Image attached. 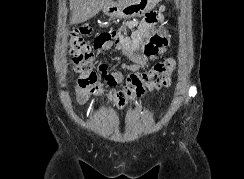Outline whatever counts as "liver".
Here are the masks:
<instances>
[{
  "label": "liver",
  "instance_id": "liver-1",
  "mask_svg": "<svg viewBox=\"0 0 244 179\" xmlns=\"http://www.w3.org/2000/svg\"><path fill=\"white\" fill-rule=\"evenodd\" d=\"M107 0H71L72 22H86L96 16Z\"/></svg>",
  "mask_w": 244,
  "mask_h": 179
}]
</instances>
